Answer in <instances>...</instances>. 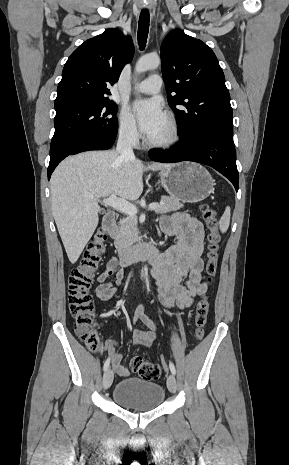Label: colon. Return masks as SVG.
<instances>
[{
  "label": "colon",
  "instance_id": "colon-1",
  "mask_svg": "<svg viewBox=\"0 0 289 465\" xmlns=\"http://www.w3.org/2000/svg\"><path fill=\"white\" fill-rule=\"evenodd\" d=\"M201 213L208 231L205 273L207 280L211 282L217 271L221 246L220 223L217 212L212 206L202 205ZM106 242L105 231L99 229L88 243L80 264L70 272L68 277V305L70 314L75 321V333L91 351H97L100 348V340L93 326L95 310L89 289L103 260ZM208 312V298L202 297L195 309L194 336L196 340L200 341L204 338ZM161 366L165 367L163 358L161 365L146 361L140 356L134 357L131 361L132 369L142 379L149 381L158 379L161 374Z\"/></svg>",
  "mask_w": 289,
  "mask_h": 465
}]
</instances>
